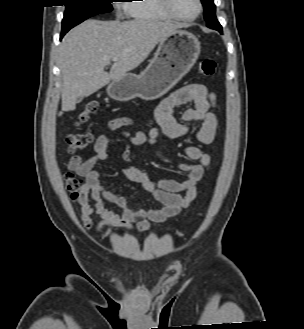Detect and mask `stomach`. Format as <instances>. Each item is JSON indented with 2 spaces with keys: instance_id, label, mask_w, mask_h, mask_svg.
I'll return each mask as SVG.
<instances>
[{
  "instance_id": "obj_1",
  "label": "stomach",
  "mask_w": 304,
  "mask_h": 329,
  "mask_svg": "<svg viewBox=\"0 0 304 329\" xmlns=\"http://www.w3.org/2000/svg\"><path fill=\"white\" fill-rule=\"evenodd\" d=\"M200 54V42L192 33L176 30L160 41L158 49L139 75L127 73L107 87L108 95L116 101L136 97L154 100L167 93L195 64Z\"/></svg>"
}]
</instances>
